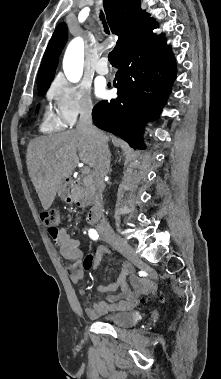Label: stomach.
<instances>
[{"mask_svg":"<svg viewBox=\"0 0 221 379\" xmlns=\"http://www.w3.org/2000/svg\"><path fill=\"white\" fill-rule=\"evenodd\" d=\"M58 194L63 199H66L69 196V188L65 181L59 185Z\"/></svg>","mask_w":221,"mask_h":379,"instance_id":"1","label":"stomach"}]
</instances>
